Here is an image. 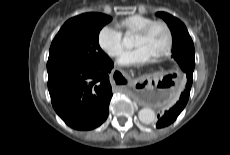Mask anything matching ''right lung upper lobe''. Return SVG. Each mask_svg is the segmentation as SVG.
<instances>
[{
    "mask_svg": "<svg viewBox=\"0 0 230 155\" xmlns=\"http://www.w3.org/2000/svg\"><path fill=\"white\" fill-rule=\"evenodd\" d=\"M88 14H91V13L82 14V15L76 16V17H74V18H80V17L86 16V15H88Z\"/></svg>",
    "mask_w": 230,
    "mask_h": 155,
    "instance_id": "1",
    "label": "right lung upper lobe"
}]
</instances>
